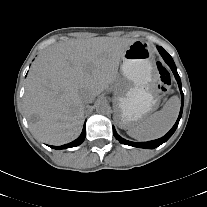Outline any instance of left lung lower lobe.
Returning <instances> with one entry per match:
<instances>
[{
  "instance_id": "obj_1",
  "label": "left lung lower lobe",
  "mask_w": 207,
  "mask_h": 207,
  "mask_svg": "<svg viewBox=\"0 0 207 207\" xmlns=\"http://www.w3.org/2000/svg\"><path fill=\"white\" fill-rule=\"evenodd\" d=\"M157 49H158L159 53L161 54V56L163 57V59L165 60V62L171 68V70H172V72H173V74H174V76H175V78L178 82V86H179V89H180V92H181V97H182V105H181V109H180L178 119H177L175 125L172 127V129L165 136H163L162 138H159V139L153 140V141H148V142H141V143L131 142V141H127V140L123 139L122 137H120L116 133L115 128L113 127V134H114L115 138L122 144L130 145V146H133V147H139V148L154 149V148L160 146L161 144H163L164 142H166L172 136V134L175 132V130L178 126L179 120L182 116L183 99L184 98H183L181 80H180V77L177 73V68L175 66V63H174L172 57L162 47L157 46Z\"/></svg>"
}]
</instances>
